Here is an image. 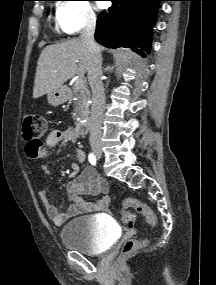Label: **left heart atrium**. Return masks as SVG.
<instances>
[{"label": "left heart atrium", "instance_id": "left-heart-atrium-1", "mask_svg": "<svg viewBox=\"0 0 216 285\" xmlns=\"http://www.w3.org/2000/svg\"><path fill=\"white\" fill-rule=\"evenodd\" d=\"M99 6H100V7H102V6H103V4H99Z\"/></svg>", "mask_w": 216, "mask_h": 285}]
</instances>
